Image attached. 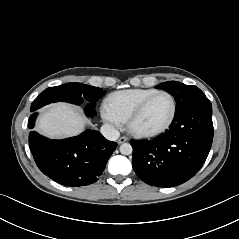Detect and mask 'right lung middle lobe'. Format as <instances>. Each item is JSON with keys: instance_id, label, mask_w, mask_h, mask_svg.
I'll list each match as a JSON object with an SVG mask.
<instances>
[{"instance_id": "right-lung-middle-lobe-1", "label": "right lung middle lobe", "mask_w": 239, "mask_h": 239, "mask_svg": "<svg viewBox=\"0 0 239 239\" xmlns=\"http://www.w3.org/2000/svg\"><path fill=\"white\" fill-rule=\"evenodd\" d=\"M105 93L106 91L102 90V88L75 82L49 87L33 101L30 111L35 112L39 108L53 102L65 101L80 104L85 100L88 103L85 108V113L90 116L96 114V102L104 96Z\"/></svg>"}]
</instances>
